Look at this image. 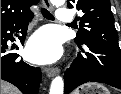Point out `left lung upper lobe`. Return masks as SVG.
<instances>
[{"instance_id":"1","label":"left lung upper lobe","mask_w":121,"mask_h":94,"mask_svg":"<svg viewBox=\"0 0 121 94\" xmlns=\"http://www.w3.org/2000/svg\"><path fill=\"white\" fill-rule=\"evenodd\" d=\"M68 8H76L81 12L80 17L76 18L80 21L75 38L78 45L88 42L118 45L110 0H68Z\"/></svg>"}]
</instances>
